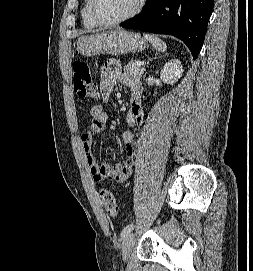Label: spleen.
<instances>
[{"instance_id": "3e777b00", "label": "spleen", "mask_w": 253, "mask_h": 271, "mask_svg": "<svg viewBox=\"0 0 253 271\" xmlns=\"http://www.w3.org/2000/svg\"><path fill=\"white\" fill-rule=\"evenodd\" d=\"M145 39H147L152 46L158 51V52H163L166 51V43L162 41L159 37L151 34L144 33Z\"/></svg>"}]
</instances>
